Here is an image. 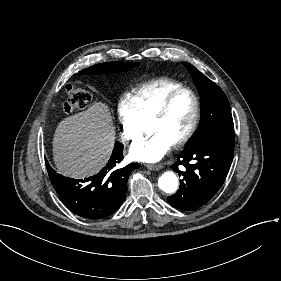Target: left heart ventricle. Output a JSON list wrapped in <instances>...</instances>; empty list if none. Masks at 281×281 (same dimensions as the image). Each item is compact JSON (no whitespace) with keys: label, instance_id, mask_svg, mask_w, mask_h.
<instances>
[{"label":"left heart ventricle","instance_id":"left-heart-ventricle-1","mask_svg":"<svg viewBox=\"0 0 281 281\" xmlns=\"http://www.w3.org/2000/svg\"><path fill=\"white\" fill-rule=\"evenodd\" d=\"M194 111L192 98L185 94L178 97L158 120L146 125L147 134L161 133L173 143L187 131Z\"/></svg>","mask_w":281,"mask_h":281}]
</instances>
